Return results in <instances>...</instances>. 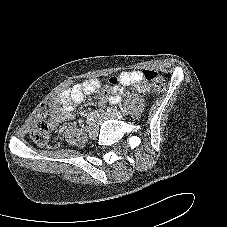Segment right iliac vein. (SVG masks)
<instances>
[{"mask_svg": "<svg viewBox=\"0 0 227 227\" xmlns=\"http://www.w3.org/2000/svg\"><path fill=\"white\" fill-rule=\"evenodd\" d=\"M87 132L90 138H95L98 134V125L93 122L87 126Z\"/></svg>", "mask_w": 227, "mask_h": 227, "instance_id": "right-iliac-vein-1", "label": "right iliac vein"}]
</instances>
